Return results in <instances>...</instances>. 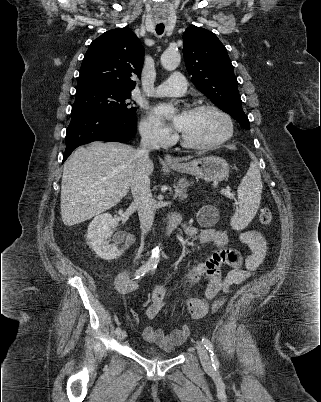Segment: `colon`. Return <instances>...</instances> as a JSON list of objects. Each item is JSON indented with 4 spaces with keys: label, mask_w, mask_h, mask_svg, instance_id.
<instances>
[{
    "label": "colon",
    "mask_w": 321,
    "mask_h": 402,
    "mask_svg": "<svg viewBox=\"0 0 321 402\" xmlns=\"http://www.w3.org/2000/svg\"><path fill=\"white\" fill-rule=\"evenodd\" d=\"M259 221L262 225H269L273 221V214L272 211L269 208H263L260 211L259 215ZM207 309V303L205 301H202L201 303L198 304L195 313L196 314H202L206 311ZM133 317L137 320L138 316L137 314L133 313Z\"/></svg>",
    "instance_id": "1"
}]
</instances>
